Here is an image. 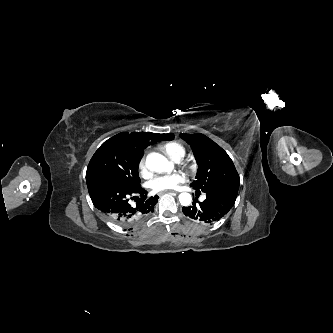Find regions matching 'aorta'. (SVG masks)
Masks as SVG:
<instances>
[{
    "instance_id": "aorta-1",
    "label": "aorta",
    "mask_w": 333,
    "mask_h": 333,
    "mask_svg": "<svg viewBox=\"0 0 333 333\" xmlns=\"http://www.w3.org/2000/svg\"><path fill=\"white\" fill-rule=\"evenodd\" d=\"M146 166L148 169L156 172H171L174 164L169 162L163 155L158 153H151L146 158ZM192 197L189 193H181L179 195V202L183 206L190 205Z\"/></svg>"
}]
</instances>
